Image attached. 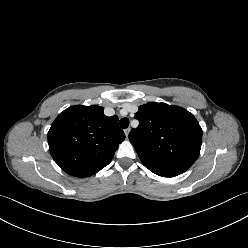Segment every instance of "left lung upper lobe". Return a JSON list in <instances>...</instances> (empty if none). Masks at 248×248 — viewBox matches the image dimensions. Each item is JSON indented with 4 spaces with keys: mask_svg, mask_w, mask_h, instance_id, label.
Segmentation results:
<instances>
[{
    "mask_svg": "<svg viewBox=\"0 0 248 248\" xmlns=\"http://www.w3.org/2000/svg\"><path fill=\"white\" fill-rule=\"evenodd\" d=\"M139 126L129 133L142 163L153 173L174 177L199 156L202 129L193 114L166 103L149 102L135 114Z\"/></svg>",
    "mask_w": 248,
    "mask_h": 248,
    "instance_id": "left-lung-upper-lobe-1",
    "label": "left lung upper lobe"
}]
</instances>
